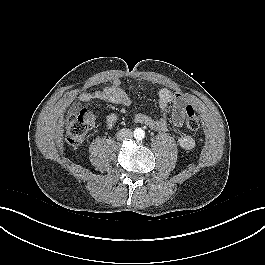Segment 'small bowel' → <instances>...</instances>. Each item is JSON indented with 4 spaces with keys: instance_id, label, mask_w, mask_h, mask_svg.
<instances>
[{
    "instance_id": "1",
    "label": "small bowel",
    "mask_w": 265,
    "mask_h": 265,
    "mask_svg": "<svg viewBox=\"0 0 265 265\" xmlns=\"http://www.w3.org/2000/svg\"><path fill=\"white\" fill-rule=\"evenodd\" d=\"M76 98L82 103L93 100L105 101L120 106H128L131 103L130 96L123 89L122 82L119 79L99 90L79 93ZM158 105L161 111L160 118L138 113L134 117L135 122L157 131H166L170 122L177 127L183 125L185 108L189 105V99L185 94L171 91L168 88H161L158 91ZM116 120V116H109L106 120L107 128H112ZM177 141L184 149H191L194 146V139L187 133H179Z\"/></svg>"
}]
</instances>
